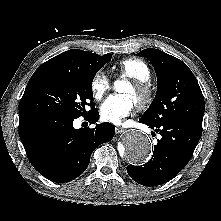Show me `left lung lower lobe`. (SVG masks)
I'll return each mask as SVG.
<instances>
[{"label":"left lung lower lobe","mask_w":221,"mask_h":221,"mask_svg":"<svg viewBox=\"0 0 221 221\" xmlns=\"http://www.w3.org/2000/svg\"><path fill=\"white\" fill-rule=\"evenodd\" d=\"M149 127L159 132L162 138L154 146L150 161L142 166L128 165L127 172L141 185L157 186L172 179L187 165L201 138L202 129L181 120Z\"/></svg>","instance_id":"1"}]
</instances>
